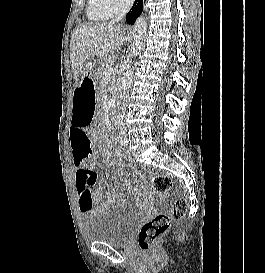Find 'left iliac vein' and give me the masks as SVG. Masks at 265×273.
Listing matches in <instances>:
<instances>
[{
	"label": "left iliac vein",
	"mask_w": 265,
	"mask_h": 273,
	"mask_svg": "<svg viewBox=\"0 0 265 273\" xmlns=\"http://www.w3.org/2000/svg\"><path fill=\"white\" fill-rule=\"evenodd\" d=\"M120 142L122 146H127L128 145V137L126 135V131L125 129L121 130V138H120Z\"/></svg>",
	"instance_id": "left-iliac-vein-1"
}]
</instances>
